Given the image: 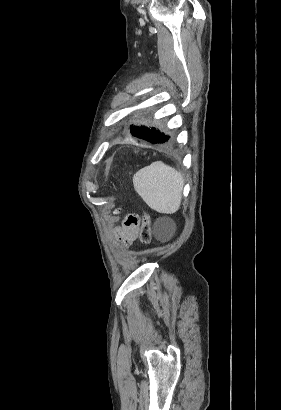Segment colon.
<instances>
[{
    "instance_id": "obj_1",
    "label": "colon",
    "mask_w": 281,
    "mask_h": 410,
    "mask_svg": "<svg viewBox=\"0 0 281 410\" xmlns=\"http://www.w3.org/2000/svg\"><path fill=\"white\" fill-rule=\"evenodd\" d=\"M129 220L132 223H137L139 226V241L143 246H148L151 242L150 217L147 213H142L140 216L131 215Z\"/></svg>"
}]
</instances>
